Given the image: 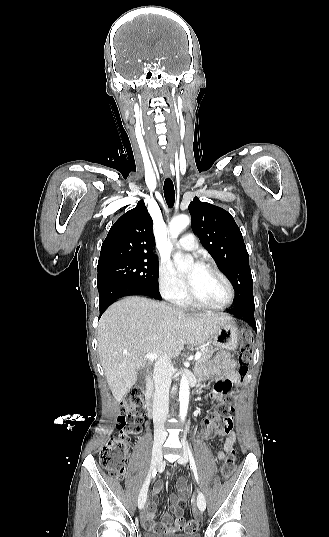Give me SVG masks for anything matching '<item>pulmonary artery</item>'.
Instances as JSON below:
<instances>
[{
    "label": "pulmonary artery",
    "mask_w": 329,
    "mask_h": 537,
    "mask_svg": "<svg viewBox=\"0 0 329 537\" xmlns=\"http://www.w3.org/2000/svg\"><path fill=\"white\" fill-rule=\"evenodd\" d=\"M176 246L183 250H196L198 248V242L196 237L189 233L181 237Z\"/></svg>",
    "instance_id": "e3ab8cb5"
}]
</instances>
